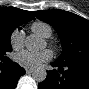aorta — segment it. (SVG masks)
Instances as JSON below:
<instances>
[{
	"label": "aorta",
	"mask_w": 89,
	"mask_h": 89,
	"mask_svg": "<svg viewBox=\"0 0 89 89\" xmlns=\"http://www.w3.org/2000/svg\"><path fill=\"white\" fill-rule=\"evenodd\" d=\"M25 46L29 51H39L43 49V41L36 35H29L25 40ZM32 77L37 82H43L47 77V72L43 67H38L32 73Z\"/></svg>",
	"instance_id": "obj_1"
}]
</instances>
